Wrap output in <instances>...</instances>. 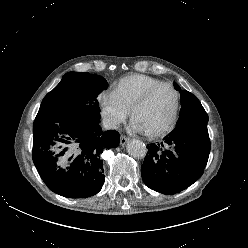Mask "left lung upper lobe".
I'll list each match as a JSON object with an SVG mask.
<instances>
[{
	"label": "left lung upper lobe",
	"instance_id": "5c2ea615",
	"mask_svg": "<svg viewBox=\"0 0 248 248\" xmlns=\"http://www.w3.org/2000/svg\"><path fill=\"white\" fill-rule=\"evenodd\" d=\"M174 87L180 93L182 105L177 126L202 122L207 123L208 115L199 100L192 93L181 90L176 83H174Z\"/></svg>",
	"mask_w": 248,
	"mask_h": 248
}]
</instances>
